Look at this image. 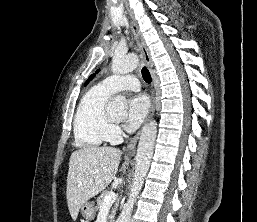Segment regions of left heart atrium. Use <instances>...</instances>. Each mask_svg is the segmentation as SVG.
I'll return each instance as SVG.
<instances>
[{
    "mask_svg": "<svg viewBox=\"0 0 257 222\" xmlns=\"http://www.w3.org/2000/svg\"><path fill=\"white\" fill-rule=\"evenodd\" d=\"M149 111V100L143 94L133 96L128 103V112L125 120L127 131H134L143 122Z\"/></svg>",
    "mask_w": 257,
    "mask_h": 222,
    "instance_id": "obj_1",
    "label": "left heart atrium"
}]
</instances>
